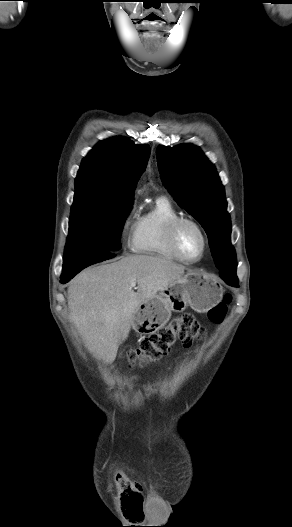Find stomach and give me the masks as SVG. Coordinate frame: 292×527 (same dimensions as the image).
<instances>
[{
  "label": "stomach",
  "instance_id": "obj_1",
  "mask_svg": "<svg viewBox=\"0 0 292 527\" xmlns=\"http://www.w3.org/2000/svg\"><path fill=\"white\" fill-rule=\"evenodd\" d=\"M223 297L222 286L209 275L189 271L161 290L155 297L144 301L136 309L133 329L141 334H153L162 329L171 312H183L188 306L198 313H205Z\"/></svg>",
  "mask_w": 292,
  "mask_h": 527
}]
</instances>
